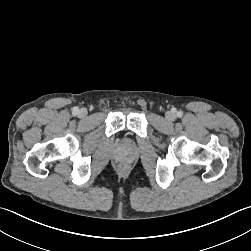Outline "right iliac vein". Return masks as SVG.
<instances>
[{
    "mask_svg": "<svg viewBox=\"0 0 251 251\" xmlns=\"http://www.w3.org/2000/svg\"><path fill=\"white\" fill-rule=\"evenodd\" d=\"M86 115H87V110H86V109H81V110L79 111V116L85 117Z\"/></svg>",
    "mask_w": 251,
    "mask_h": 251,
    "instance_id": "63e3f726",
    "label": "right iliac vein"
}]
</instances>
